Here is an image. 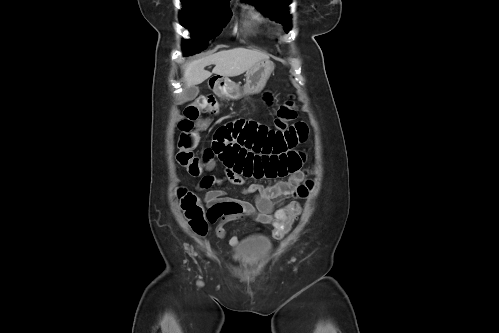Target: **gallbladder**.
<instances>
[{
    "instance_id": "obj_1",
    "label": "gallbladder",
    "mask_w": 499,
    "mask_h": 333,
    "mask_svg": "<svg viewBox=\"0 0 499 333\" xmlns=\"http://www.w3.org/2000/svg\"><path fill=\"white\" fill-rule=\"evenodd\" d=\"M198 93V88L195 86H191L185 90V97L188 101H191L197 97Z\"/></svg>"
}]
</instances>
